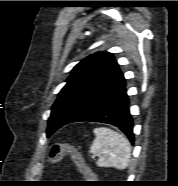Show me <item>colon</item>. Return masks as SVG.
<instances>
[{"label":"colon","instance_id":"colon-1","mask_svg":"<svg viewBox=\"0 0 178 186\" xmlns=\"http://www.w3.org/2000/svg\"><path fill=\"white\" fill-rule=\"evenodd\" d=\"M65 155H70L72 156V158L75 160L77 166L79 167V169L85 173L88 174L89 173V169L86 166V164L83 162L78 150L70 145V144H66V143H54L48 153V158H49V162L51 164H56L59 161H61V159L65 156Z\"/></svg>","mask_w":178,"mask_h":186}]
</instances>
